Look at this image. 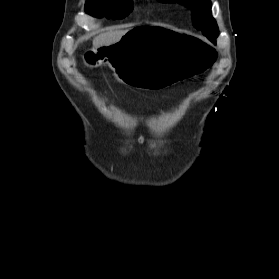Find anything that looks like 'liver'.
Returning a JSON list of instances; mask_svg holds the SVG:
<instances>
[{
  "label": "liver",
  "instance_id": "6515ba94",
  "mask_svg": "<svg viewBox=\"0 0 279 279\" xmlns=\"http://www.w3.org/2000/svg\"><path fill=\"white\" fill-rule=\"evenodd\" d=\"M127 32L128 30H116L102 33L93 39V48L98 49L112 45L119 41Z\"/></svg>",
  "mask_w": 279,
  "mask_h": 279
}]
</instances>
